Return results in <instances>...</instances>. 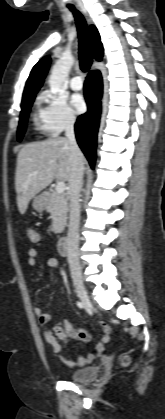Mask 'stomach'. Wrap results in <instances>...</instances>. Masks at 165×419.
<instances>
[{"label": "stomach", "instance_id": "obj_1", "mask_svg": "<svg viewBox=\"0 0 165 419\" xmlns=\"http://www.w3.org/2000/svg\"><path fill=\"white\" fill-rule=\"evenodd\" d=\"M46 205L47 201L45 195H39L34 197L32 206L36 211L42 212L43 210H45Z\"/></svg>", "mask_w": 165, "mask_h": 419}]
</instances>
